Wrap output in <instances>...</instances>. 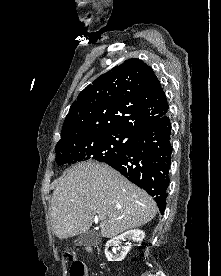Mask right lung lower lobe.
<instances>
[{"label":"right lung lower lobe","instance_id":"98d812e1","mask_svg":"<svg viewBox=\"0 0 221 276\" xmlns=\"http://www.w3.org/2000/svg\"><path fill=\"white\" fill-rule=\"evenodd\" d=\"M171 123L165 115L133 136L128 151L106 161L154 197L161 214L166 207L171 164Z\"/></svg>","mask_w":221,"mask_h":276}]
</instances>
